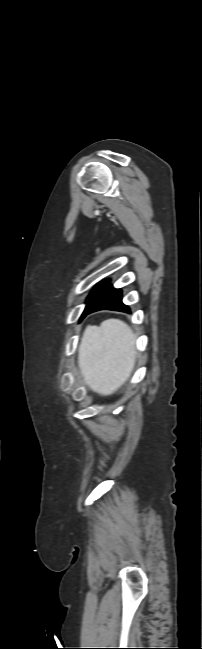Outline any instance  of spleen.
<instances>
[{"mask_svg": "<svg viewBox=\"0 0 202 649\" xmlns=\"http://www.w3.org/2000/svg\"><path fill=\"white\" fill-rule=\"evenodd\" d=\"M135 335L122 321L88 327L79 347L78 364L85 382L102 395L113 393L135 365Z\"/></svg>", "mask_w": 202, "mask_h": 649, "instance_id": "3e777b00", "label": "spleen"}]
</instances>
